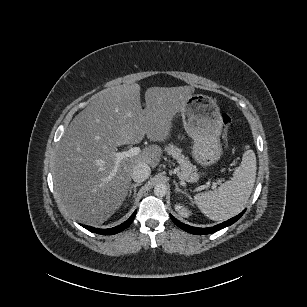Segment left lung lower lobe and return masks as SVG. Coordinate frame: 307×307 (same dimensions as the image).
<instances>
[{
    "instance_id": "obj_1",
    "label": "left lung lower lobe",
    "mask_w": 307,
    "mask_h": 307,
    "mask_svg": "<svg viewBox=\"0 0 307 307\" xmlns=\"http://www.w3.org/2000/svg\"><path fill=\"white\" fill-rule=\"evenodd\" d=\"M245 212V210L240 213L239 215L221 223V224H218L214 227H209V228H196V227H192V226H189V225H186L180 221H178L176 218H174L172 215L171 216V219L172 221L178 226L180 227L181 229L191 233V234H196V235H202V234H210V233H213V232H216L220 229H223L231 224H233L234 222H236L242 215L243 213Z\"/></svg>"
}]
</instances>
